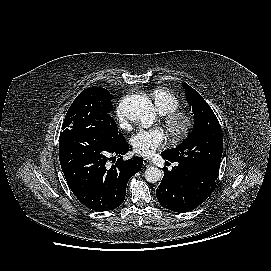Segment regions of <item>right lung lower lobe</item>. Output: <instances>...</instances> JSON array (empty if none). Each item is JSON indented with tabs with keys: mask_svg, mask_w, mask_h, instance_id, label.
<instances>
[{
	"mask_svg": "<svg viewBox=\"0 0 271 271\" xmlns=\"http://www.w3.org/2000/svg\"><path fill=\"white\" fill-rule=\"evenodd\" d=\"M128 150L123 137L113 145L81 137L59 140V160L65 179L83 205L95 211H109L123 203L129 179L143 164L140 157L122 160ZM110 156L120 157L111 167L107 161L116 157Z\"/></svg>",
	"mask_w": 271,
	"mask_h": 271,
	"instance_id": "1",
	"label": "right lung lower lobe"
}]
</instances>
